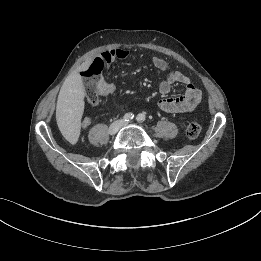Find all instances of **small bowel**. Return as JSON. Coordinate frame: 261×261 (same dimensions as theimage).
<instances>
[{
	"instance_id": "small-bowel-1",
	"label": "small bowel",
	"mask_w": 261,
	"mask_h": 261,
	"mask_svg": "<svg viewBox=\"0 0 261 261\" xmlns=\"http://www.w3.org/2000/svg\"><path fill=\"white\" fill-rule=\"evenodd\" d=\"M128 56L129 51L123 48H116L102 52L96 59L101 60L104 63V66H109L114 61L126 59ZM152 64L157 70L165 73L164 80L159 84V91L163 95L158 102L159 108L169 113H184L192 111L201 99V92L193 85L189 77L179 71H171L167 62L159 56H154L152 58ZM175 83L184 85V93L179 96H170L168 94ZM114 91L115 87L113 84L102 81V96L110 95ZM90 124L91 119L89 117H85L81 122L83 128L89 127Z\"/></svg>"
}]
</instances>
